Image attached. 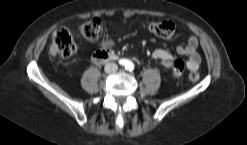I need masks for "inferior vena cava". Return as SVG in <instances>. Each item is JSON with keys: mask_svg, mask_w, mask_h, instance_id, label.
I'll return each instance as SVG.
<instances>
[{"mask_svg": "<svg viewBox=\"0 0 247 145\" xmlns=\"http://www.w3.org/2000/svg\"><path fill=\"white\" fill-rule=\"evenodd\" d=\"M106 73H115L118 70V65L116 63L110 62L105 65Z\"/></svg>", "mask_w": 247, "mask_h": 145, "instance_id": "1", "label": "inferior vena cava"}]
</instances>
